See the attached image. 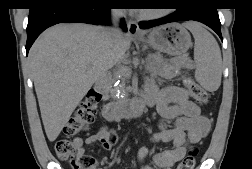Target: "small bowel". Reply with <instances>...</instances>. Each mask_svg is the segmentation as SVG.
I'll return each mask as SVG.
<instances>
[{"instance_id":"small-bowel-1","label":"small bowel","mask_w":252,"mask_h":169,"mask_svg":"<svg viewBox=\"0 0 252 169\" xmlns=\"http://www.w3.org/2000/svg\"><path fill=\"white\" fill-rule=\"evenodd\" d=\"M144 97L151 98L156 103L161 118L158 124L159 131L151 136L150 144L170 142L174 145L171 150L154 154V163L161 169H171L210 132L211 123L201 114L200 108L189 99L188 92L182 88L159 89L154 82H150L145 88ZM170 120L175 121L174 128L166 125ZM109 134L110 132L102 127L97 133L87 137L86 145L90 147L98 145L104 150H110L113 143L109 141ZM148 153L149 146L142 147L138 152V161L142 163ZM89 169H96L95 161ZM141 169L153 168L142 165Z\"/></svg>"}]
</instances>
